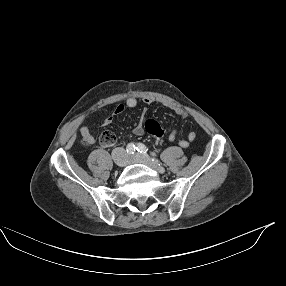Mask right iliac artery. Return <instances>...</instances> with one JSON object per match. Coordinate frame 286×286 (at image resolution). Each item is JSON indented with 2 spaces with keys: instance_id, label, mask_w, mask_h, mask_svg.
<instances>
[{
  "instance_id": "82829eb1",
  "label": "right iliac artery",
  "mask_w": 286,
  "mask_h": 286,
  "mask_svg": "<svg viewBox=\"0 0 286 286\" xmlns=\"http://www.w3.org/2000/svg\"><path fill=\"white\" fill-rule=\"evenodd\" d=\"M135 149H136V147L133 143H129L126 147V151L128 154H134Z\"/></svg>"
}]
</instances>
